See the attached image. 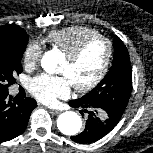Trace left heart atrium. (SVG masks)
Segmentation results:
<instances>
[{
  "instance_id": "39dd6f15",
  "label": "left heart atrium",
  "mask_w": 153,
  "mask_h": 153,
  "mask_svg": "<svg viewBox=\"0 0 153 153\" xmlns=\"http://www.w3.org/2000/svg\"><path fill=\"white\" fill-rule=\"evenodd\" d=\"M71 86L66 75L41 74L31 80L29 88L38 100L47 105H54L58 99L66 98L70 94Z\"/></svg>"
}]
</instances>
